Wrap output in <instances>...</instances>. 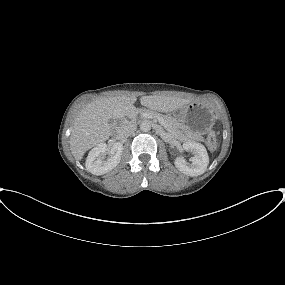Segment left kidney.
<instances>
[{
  "instance_id": "5707ae66",
  "label": "left kidney",
  "mask_w": 285,
  "mask_h": 285,
  "mask_svg": "<svg viewBox=\"0 0 285 285\" xmlns=\"http://www.w3.org/2000/svg\"><path fill=\"white\" fill-rule=\"evenodd\" d=\"M183 148L193 153L191 163L186 162L183 157H176L175 166L182 173L189 176L202 175L209 164V157L206 148L201 143L185 142Z\"/></svg>"
}]
</instances>
